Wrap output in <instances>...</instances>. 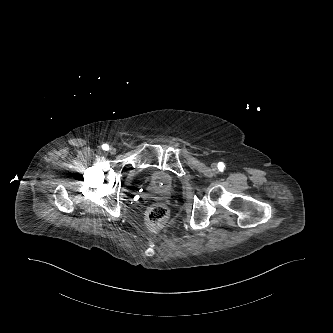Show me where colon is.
I'll return each mask as SVG.
<instances>
[{"label":"colon","instance_id":"colon-1","mask_svg":"<svg viewBox=\"0 0 333 333\" xmlns=\"http://www.w3.org/2000/svg\"><path fill=\"white\" fill-rule=\"evenodd\" d=\"M169 211L167 207L163 204H155L149 208L146 221L150 230L158 231L160 230L168 218Z\"/></svg>","mask_w":333,"mask_h":333}]
</instances>
